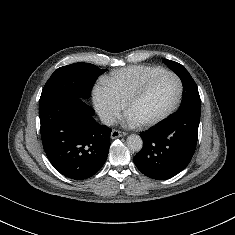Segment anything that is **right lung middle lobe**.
Masks as SVG:
<instances>
[{"label":"right lung middle lobe","mask_w":235,"mask_h":235,"mask_svg":"<svg viewBox=\"0 0 235 235\" xmlns=\"http://www.w3.org/2000/svg\"><path fill=\"white\" fill-rule=\"evenodd\" d=\"M105 71L90 63H74L58 68L46 82L39 105L59 96L89 98L97 77Z\"/></svg>","instance_id":"1"}]
</instances>
